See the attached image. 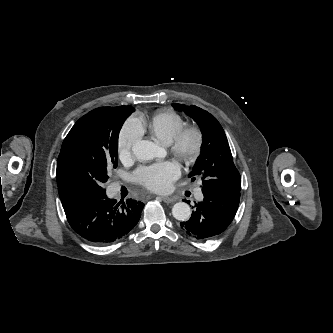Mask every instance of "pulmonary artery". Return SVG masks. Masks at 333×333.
<instances>
[{
  "mask_svg": "<svg viewBox=\"0 0 333 333\" xmlns=\"http://www.w3.org/2000/svg\"><path fill=\"white\" fill-rule=\"evenodd\" d=\"M196 199L199 200V201L203 199V195H202L201 192L198 191V192L196 193Z\"/></svg>",
  "mask_w": 333,
  "mask_h": 333,
  "instance_id": "e3ab8cb5",
  "label": "pulmonary artery"
}]
</instances>
